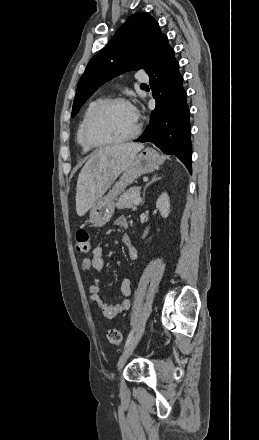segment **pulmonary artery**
<instances>
[{
    "mask_svg": "<svg viewBox=\"0 0 259 440\" xmlns=\"http://www.w3.org/2000/svg\"><path fill=\"white\" fill-rule=\"evenodd\" d=\"M137 79H138V81L141 82V83H146V82L149 81L148 76L145 75V74H140V75H138Z\"/></svg>",
    "mask_w": 259,
    "mask_h": 440,
    "instance_id": "e3ab8cb5",
    "label": "pulmonary artery"
}]
</instances>
